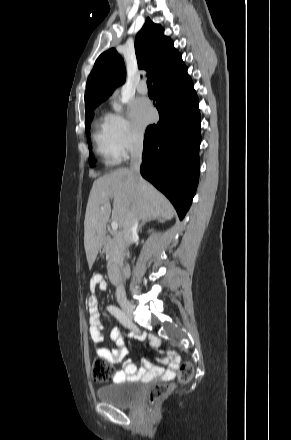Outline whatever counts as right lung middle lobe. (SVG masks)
<instances>
[{
  "mask_svg": "<svg viewBox=\"0 0 291 440\" xmlns=\"http://www.w3.org/2000/svg\"><path fill=\"white\" fill-rule=\"evenodd\" d=\"M94 108H92L91 110H89L88 112H86V120H85V127H86V135H87V139H88V146H89V151H90V156H89V162L90 164H92V162L94 161V157L93 154L91 153V142L89 140V134H90V122L93 118V110Z\"/></svg>",
  "mask_w": 291,
  "mask_h": 440,
  "instance_id": "obj_1",
  "label": "right lung middle lobe"
}]
</instances>
